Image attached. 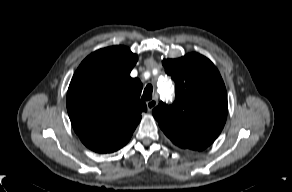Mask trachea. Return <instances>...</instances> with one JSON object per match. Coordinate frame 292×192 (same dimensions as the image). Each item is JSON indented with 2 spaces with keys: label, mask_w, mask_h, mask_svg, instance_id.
Instances as JSON below:
<instances>
[{
  "label": "trachea",
  "mask_w": 292,
  "mask_h": 192,
  "mask_svg": "<svg viewBox=\"0 0 292 192\" xmlns=\"http://www.w3.org/2000/svg\"><path fill=\"white\" fill-rule=\"evenodd\" d=\"M152 92H153V87L152 85H147L144 89L143 95H142V99L143 100H151L152 99Z\"/></svg>",
  "instance_id": "3493384b"
}]
</instances>
